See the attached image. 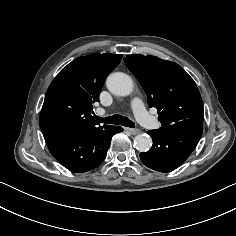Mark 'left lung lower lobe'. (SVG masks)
<instances>
[{
  "label": "left lung lower lobe",
  "instance_id": "0a47b994",
  "mask_svg": "<svg viewBox=\"0 0 236 236\" xmlns=\"http://www.w3.org/2000/svg\"><path fill=\"white\" fill-rule=\"evenodd\" d=\"M152 148L140 153L141 161L159 172H169L181 166L197 146L202 131L181 129L174 131L150 130Z\"/></svg>",
  "mask_w": 236,
  "mask_h": 236
}]
</instances>
